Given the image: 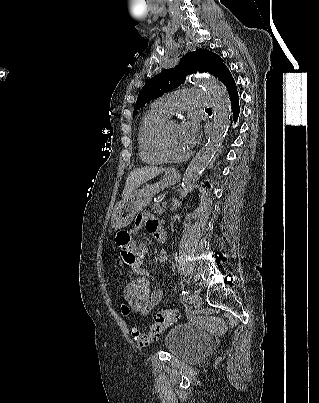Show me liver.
I'll return each mask as SVG.
<instances>
[{"instance_id": "6515ba94", "label": "liver", "mask_w": 319, "mask_h": 403, "mask_svg": "<svg viewBox=\"0 0 319 403\" xmlns=\"http://www.w3.org/2000/svg\"><path fill=\"white\" fill-rule=\"evenodd\" d=\"M165 168L147 166L134 169L128 176L122 193V201L128 198L141 184L163 173Z\"/></svg>"}]
</instances>
